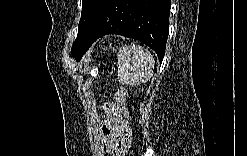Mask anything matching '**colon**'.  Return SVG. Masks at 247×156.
Wrapping results in <instances>:
<instances>
[{"mask_svg":"<svg viewBox=\"0 0 247 156\" xmlns=\"http://www.w3.org/2000/svg\"><path fill=\"white\" fill-rule=\"evenodd\" d=\"M126 89L122 86L117 87L114 100L117 111L120 113L124 121L129 124L130 113L126 106Z\"/></svg>","mask_w":247,"mask_h":156,"instance_id":"5ec220e1","label":"colon"}]
</instances>
